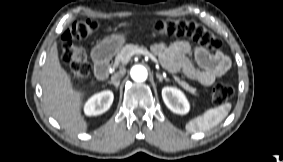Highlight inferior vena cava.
Wrapping results in <instances>:
<instances>
[{"label":"inferior vena cava","instance_id":"1","mask_svg":"<svg viewBox=\"0 0 283 162\" xmlns=\"http://www.w3.org/2000/svg\"><path fill=\"white\" fill-rule=\"evenodd\" d=\"M126 73L125 69H121L119 72L115 73L114 75H112L111 77V81L112 82H120V79L124 76V74Z\"/></svg>","mask_w":283,"mask_h":162}]
</instances>
